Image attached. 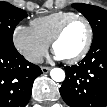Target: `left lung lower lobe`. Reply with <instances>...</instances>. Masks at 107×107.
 <instances>
[{
	"label": "left lung lower lobe",
	"instance_id": "left-lung-lower-lobe-1",
	"mask_svg": "<svg viewBox=\"0 0 107 107\" xmlns=\"http://www.w3.org/2000/svg\"><path fill=\"white\" fill-rule=\"evenodd\" d=\"M60 88L70 107H105L107 104V36L92 42L86 57L66 67Z\"/></svg>",
	"mask_w": 107,
	"mask_h": 107
}]
</instances>
